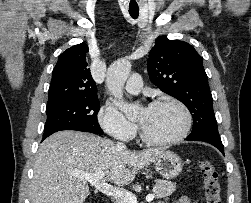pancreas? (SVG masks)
<instances>
[{
	"label": "pancreas",
	"instance_id": "pancreas-1",
	"mask_svg": "<svg viewBox=\"0 0 251 203\" xmlns=\"http://www.w3.org/2000/svg\"><path fill=\"white\" fill-rule=\"evenodd\" d=\"M176 189V185L166 180H156L153 191L156 198H165L170 196ZM116 203H124L123 200L116 199Z\"/></svg>",
	"mask_w": 251,
	"mask_h": 203
}]
</instances>
